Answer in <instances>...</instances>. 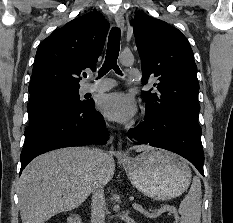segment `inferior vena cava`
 Instances as JSON below:
<instances>
[{
  "label": "inferior vena cava",
  "mask_w": 233,
  "mask_h": 223,
  "mask_svg": "<svg viewBox=\"0 0 233 223\" xmlns=\"http://www.w3.org/2000/svg\"><path fill=\"white\" fill-rule=\"evenodd\" d=\"M91 157L94 159L90 179L91 223H105L104 183L101 179V173L107 153H104L103 149H91Z\"/></svg>",
  "instance_id": "inferior-vena-cava-1"
}]
</instances>
